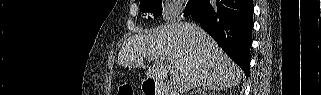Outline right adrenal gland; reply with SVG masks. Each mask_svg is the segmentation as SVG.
<instances>
[{"instance_id": "obj_1", "label": "right adrenal gland", "mask_w": 321, "mask_h": 95, "mask_svg": "<svg viewBox=\"0 0 321 95\" xmlns=\"http://www.w3.org/2000/svg\"><path fill=\"white\" fill-rule=\"evenodd\" d=\"M224 87H220V86H217V85H207V86H204L202 88H198L197 90H195V94H201V92L203 94H205V92L208 90V91H215V90H223ZM225 89V88H224ZM193 94V92L191 93Z\"/></svg>"}]
</instances>
